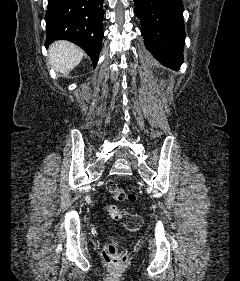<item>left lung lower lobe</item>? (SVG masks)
I'll return each mask as SVG.
<instances>
[{"label":"left lung lower lobe","instance_id":"0a47b994","mask_svg":"<svg viewBox=\"0 0 240 281\" xmlns=\"http://www.w3.org/2000/svg\"><path fill=\"white\" fill-rule=\"evenodd\" d=\"M146 48L167 66L183 62L182 0H134Z\"/></svg>","mask_w":240,"mask_h":281}]
</instances>
